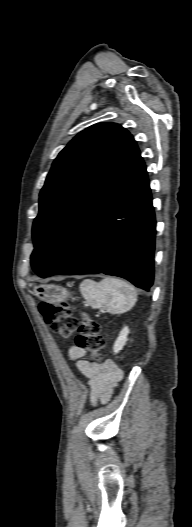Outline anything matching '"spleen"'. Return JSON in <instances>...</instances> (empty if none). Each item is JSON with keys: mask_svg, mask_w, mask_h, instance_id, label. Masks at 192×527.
<instances>
[{"mask_svg": "<svg viewBox=\"0 0 192 527\" xmlns=\"http://www.w3.org/2000/svg\"><path fill=\"white\" fill-rule=\"evenodd\" d=\"M80 291L93 308H102L115 314L129 311L137 301L135 288L113 277H106L99 283L85 279L80 284Z\"/></svg>", "mask_w": 192, "mask_h": 527, "instance_id": "1", "label": "spleen"}]
</instances>
